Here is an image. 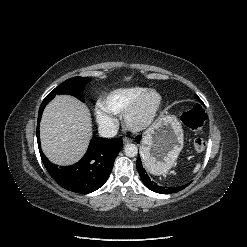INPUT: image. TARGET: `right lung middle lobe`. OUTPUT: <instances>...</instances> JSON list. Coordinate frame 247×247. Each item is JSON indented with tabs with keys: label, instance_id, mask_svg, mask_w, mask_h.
I'll return each mask as SVG.
<instances>
[{
	"label": "right lung middle lobe",
	"instance_id": "right-lung-middle-lobe-1",
	"mask_svg": "<svg viewBox=\"0 0 247 247\" xmlns=\"http://www.w3.org/2000/svg\"><path fill=\"white\" fill-rule=\"evenodd\" d=\"M90 78H83V77H74L67 79L58 87H56L53 91L49 93L47 97H52L56 94H68L73 95L76 98L84 101L83 98V90L86 83L90 82Z\"/></svg>",
	"mask_w": 247,
	"mask_h": 247
}]
</instances>
